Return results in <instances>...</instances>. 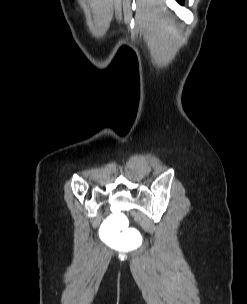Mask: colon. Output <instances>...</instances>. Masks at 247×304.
Listing matches in <instances>:
<instances>
[{"label": "colon", "instance_id": "5ec220e1", "mask_svg": "<svg viewBox=\"0 0 247 304\" xmlns=\"http://www.w3.org/2000/svg\"><path fill=\"white\" fill-rule=\"evenodd\" d=\"M108 220H102L98 240H105L106 248H113L114 253H135V248H142L145 239L141 237L138 225H130L132 214H108Z\"/></svg>", "mask_w": 247, "mask_h": 304}]
</instances>
